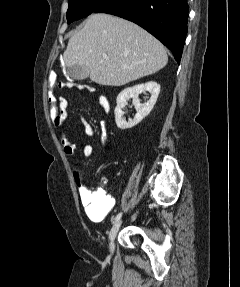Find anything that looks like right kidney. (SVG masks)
Masks as SVG:
<instances>
[{
  "label": "right kidney",
  "mask_w": 240,
  "mask_h": 287,
  "mask_svg": "<svg viewBox=\"0 0 240 287\" xmlns=\"http://www.w3.org/2000/svg\"><path fill=\"white\" fill-rule=\"evenodd\" d=\"M148 91L151 96L147 103L141 104L139 100V94ZM160 93V85L154 81H149L144 84L128 87L121 91L117 96V106L115 108V122L117 127L121 130L129 129L140 123L153 109L158 95ZM132 98L133 105L136 109V114L133 119H129L128 122L123 118L122 109L127 105V100Z\"/></svg>",
  "instance_id": "1"
}]
</instances>
